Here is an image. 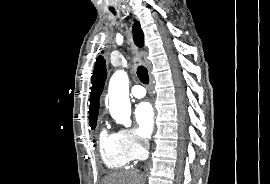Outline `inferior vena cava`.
<instances>
[{
  "label": "inferior vena cava",
  "mask_w": 270,
  "mask_h": 184,
  "mask_svg": "<svg viewBox=\"0 0 270 184\" xmlns=\"http://www.w3.org/2000/svg\"><path fill=\"white\" fill-rule=\"evenodd\" d=\"M145 146L148 148L149 147V142L148 141H145L144 142Z\"/></svg>",
  "instance_id": "inferior-vena-cava-1"
}]
</instances>
